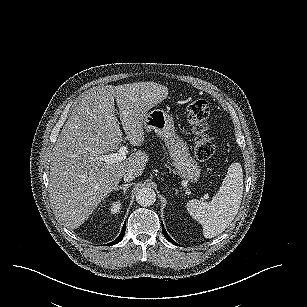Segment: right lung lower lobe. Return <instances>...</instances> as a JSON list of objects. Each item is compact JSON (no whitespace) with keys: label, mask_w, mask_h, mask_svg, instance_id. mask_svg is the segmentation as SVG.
Listing matches in <instances>:
<instances>
[{"label":"right lung lower lobe","mask_w":307,"mask_h":307,"mask_svg":"<svg viewBox=\"0 0 307 307\" xmlns=\"http://www.w3.org/2000/svg\"><path fill=\"white\" fill-rule=\"evenodd\" d=\"M125 229H126V224H124V226L122 228V231H121L120 235L117 237V239H115L114 241H112L111 243H109L107 245L111 246V245L119 243L123 239V236H124V233H125Z\"/></svg>","instance_id":"1"}]
</instances>
